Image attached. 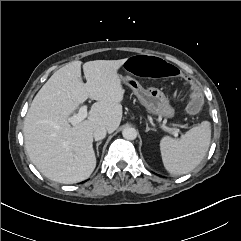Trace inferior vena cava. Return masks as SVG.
<instances>
[{"label": "inferior vena cava", "instance_id": "inferior-vena-cava-1", "mask_svg": "<svg viewBox=\"0 0 241 241\" xmlns=\"http://www.w3.org/2000/svg\"><path fill=\"white\" fill-rule=\"evenodd\" d=\"M107 133V130L105 127L99 126L94 130L93 136L95 138L96 141L98 140H102L105 138Z\"/></svg>", "mask_w": 241, "mask_h": 241}]
</instances>
